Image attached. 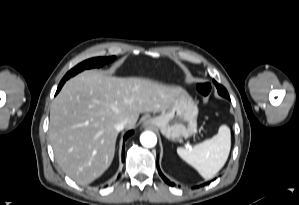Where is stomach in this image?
Returning <instances> with one entry per match:
<instances>
[{
	"label": "stomach",
	"instance_id": "stomach-1",
	"mask_svg": "<svg viewBox=\"0 0 299 205\" xmlns=\"http://www.w3.org/2000/svg\"><path fill=\"white\" fill-rule=\"evenodd\" d=\"M198 107L189 94L183 91L167 111L148 118L146 125L158 128L169 140L190 137L197 130Z\"/></svg>",
	"mask_w": 299,
	"mask_h": 205
}]
</instances>
